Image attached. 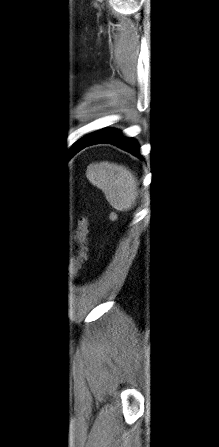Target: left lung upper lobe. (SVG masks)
Wrapping results in <instances>:
<instances>
[{"mask_svg": "<svg viewBox=\"0 0 219 447\" xmlns=\"http://www.w3.org/2000/svg\"><path fill=\"white\" fill-rule=\"evenodd\" d=\"M91 134H93V133H91ZM91 134H89V135H87V136H85V137H83V138H81L79 141H77L76 143H79L80 141H82V140H84V139H86L88 136H90Z\"/></svg>", "mask_w": 219, "mask_h": 447, "instance_id": "obj_1", "label": "left lung upper lobe"}]
</instances>
